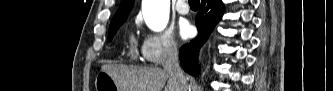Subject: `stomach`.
<instances>
[{
  "mask_svg": "<svg viewBox=\"0 0 333 91\" xmlns=\"http://www.w3.org/2000/svg\"><path fill=\"white\" fill-rule=\"evenodd\" d=\"M96 91H124L123 88L105 71H100L95 78Z\"/></svg>",
  "mask_w": 333,
  "mask_h": 91,
  "instance_id": "stomach-1",
  "label": "stomach"
}]
</instances>
